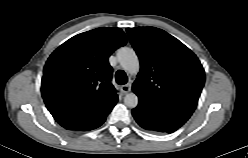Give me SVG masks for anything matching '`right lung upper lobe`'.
<instances>
[{"mask_svg": "<svg viewBox=\"0 0 248 158\" xmlns=\"http://www.w3.org/2000/svg\"><path fill=\"white\" fill-rule=\"evenodd\" d=\"M126 42L120 28H97L70 38L51 54L41 92L61 126L78 130L111 111L118 96L108 57Z\"/></svg>", "mask_w": 248, "mask_h": 158, "instance_id": "cb5924a9", "label": "right lung upper lobe"}]
</instances>
